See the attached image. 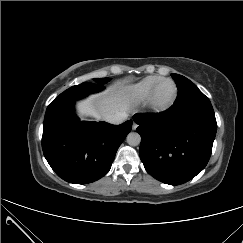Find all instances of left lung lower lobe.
<instances>
[{
    "label": "left lung lower lobe",
    "mask_w": 243,
    "mask_h": 243,
    "mask_svg": "<svg viewBox=\"0 0 243 243\" xmlns=\"http://www.w3.org/2000/svg\"><path fill=\"white\" fill-rule=\"evenodd\" d=\"M186 93V89L180 90L174 104L164 112L133 116L139 125L144 167L165 184H183L205 168L217 131L215 116L184 111L182 98Z\"/></svg>",
    "instance_id": "left-lung-lower-lobe-1"
}]
</instances>
